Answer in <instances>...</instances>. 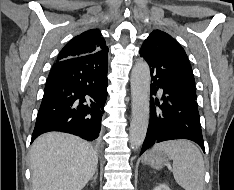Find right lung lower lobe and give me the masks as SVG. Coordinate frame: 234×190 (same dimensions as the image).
I'll return each instance as SVG.
<instances>
[{"label":"right lung lower lobe","mask_w":234,"mask_h":190,"mask_svg":"<svg viewBox=\"0 0 234 190\" xmlns=\"http://www.w3.org/2000/svg\"><path fill=\"white\" fill-rule=\"evenodd\" d=\"M107 55L97 52L53 65L31 142L49 131L98 139L107 98Z\"/></svg>","instance_id":"98d812e1"}]
</instances>
